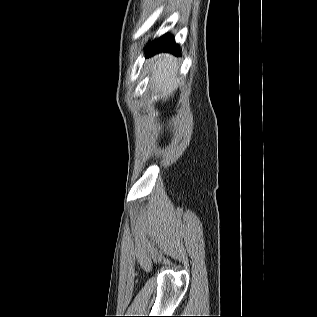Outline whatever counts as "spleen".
I'll list each match as a JSON object with an SVG mask.
<instances>
[{
    "mask_svg": "<svg viewBox=\"0 0 317 317\" xmlns=\"http://www.w3.org/2000/svg\"><path fill=\"white\" fill-rule=\"evenodd\" d=\"M152 69V82L155 83L156 89L162 90L164 97L167 98L178 86L176 59L168 55L158 58Z\"/></svg>",
    "mask_w": 317,
    "mask_h": 317,
    "instance_id": "obj_1",
    "label": "spleen"
}]
</instances>
